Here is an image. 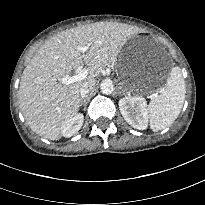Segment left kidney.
Here are the masks:
<instances>
[{
	"label": "left kidney",
	"instance_id": "1",
	"mask_svg": "<svg viewBox=\"0 0 205 205\" xmlns=\"http://www.w3.org/2000/svg\"><path fill=\"white\" fill-rule=\"evenodd\" d=\"M119 109L128 124L138 130L148 126L146 101L141 96H126L119 101Z\"/></svg>",
	"mask_w": 205,
	"mask_h": 205
}]
</instances>
